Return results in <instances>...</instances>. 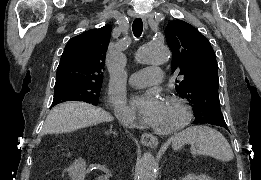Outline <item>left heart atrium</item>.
<instances>
[{"label":"left heart atrium","instance_id":"1","mask_svg":"<svg viewBox=\"0 0 261 180\" xmlns=\"http://www.w3.org/2000/svg\"><path fill=\"white\" fill-rule=\"evenodd\" d=\"M163 99L155 91H147L142 94H135L130 99L128 109L130 112L140 116L150 123L158 110L161 108Z\"/></svg>","mask_w":261,"mask_h":180}]
</instances>
